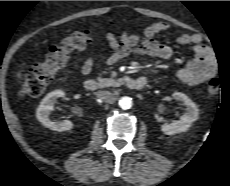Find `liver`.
<instances>
[{"instance_id": "1", "label": "liver", "mask_w": 230, "mask_h": 186, "mask_svg": "<svg viewBox=\"0 0 230 186\" xmlns=\"http://www.w3.org/2000/svg\"><path fill=\"white\" fill-rule=\"evenodd\" d=\"M17 77H18V80H19V82H20L21 79H22V77H21V71H18Z\"/></svg>"}]
</instances>
